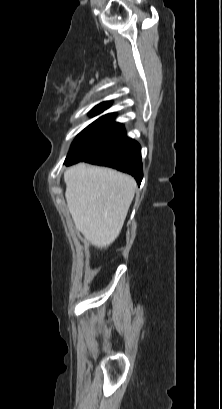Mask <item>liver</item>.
<instances>
[{
    "mask_svg": "<svg viewBox=\"0 0 222 409\" xmlns=\"http://www.w3.org/2000/svg\"><path fill=\"white\" fill-rule=\"evenodd\" d=\"M67 206L86 240L107 248L119 236L133 201L136 181L110 168L79 163L64 173Z\"/></svg>",
    "mask_w": 222,
    "mask_h": 409,
    "instance_id": "1",
    "label": "liver"
}]
</instances>
